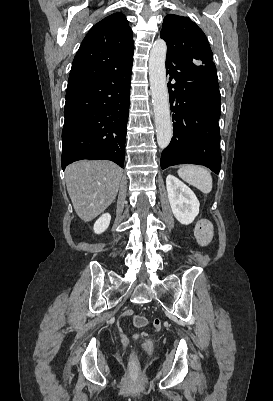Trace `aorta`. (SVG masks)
<instances>
[{
  "mask_svg": "<svg viewBox=\"0 0 273 401\" xmlns=\"http://www.w3.org/2000/svg\"><path fill=\"white\" fill-rule=\"evenodd\" d=\"M166 52V42L158 39L153 44L149 57V81L155 116L157 143L161 149L167 148L173 135L166 82Z\"/></svg>",
  "mask_w": 273,
  "mask_h": 401,
  "instance_id": "762f6f07",
  "label": "aorta"
}]
</instances>
